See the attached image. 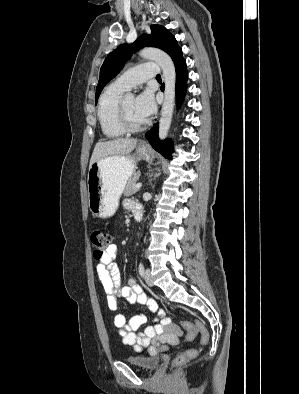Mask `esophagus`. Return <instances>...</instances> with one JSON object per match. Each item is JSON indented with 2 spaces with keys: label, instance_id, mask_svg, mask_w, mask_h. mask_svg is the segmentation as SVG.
Masks as SVG:
<instances>
[{
  "label": "esophagus",
  "instance_id": "34e87169",
  "mask_svg": "<svg viewBox=\"0 0 299 394\" xmlns=\"http://www.w3.org/2000/svg\"><path fill=\"white\" fill-rule=\"evenodd\" d=\"M142 145H143L144 147H147V144H146V143H143Z\"/></svg>",
  "mask_w": 299,
  "mask_h": 394
}]
</instances>
